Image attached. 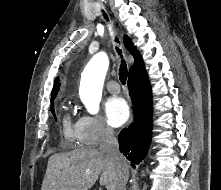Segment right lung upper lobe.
I'll return each mask as SVG.
<instances>
[{"instance_id":"right-lung-upper-lobe-1","label":"right lung upper lobe","mask_w":221,"mask_h":190,"mask_svg":"<svg viewBox=\"0 0 221 190\" xmlns=\"http://www.w3.org/2000/svg\"><path fill=\"white\" fill-rule=\"evenodd\" d=\"M124 44L129 50V52L134 56L135 60L134 65L129 70V78L146 74L143 60L136 48L134 47L131 39L127 35L124 36ZM59 87L60 83L57 77V79H55L54 81V86L51 92V101H53L56 98L57 93L59 91Z\"/></svg>"}]
</instances>
